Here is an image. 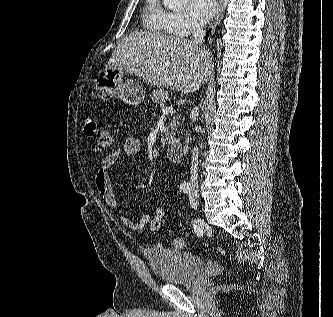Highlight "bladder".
Listing matches in <instances>:
<instances>
[{"label": "bladder", "instance_id": "bladder-1", "mask_svg": "<svg viewBox=\"0 0 333 317\" xmlns=\"http://www.w3.org/2000/svg\"><path fill=\"white\" fill-rule=\"evenodd\" d=\"M156 277L169 284H188L195 280L203 267V259L193 253L163 246H152L145 251Z\"/></svg>", "mask_w": 333, "mask_h": 317}]
</instances>
